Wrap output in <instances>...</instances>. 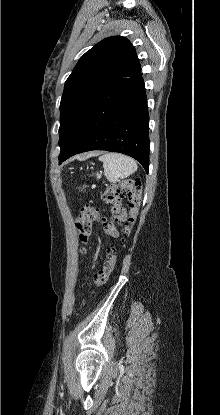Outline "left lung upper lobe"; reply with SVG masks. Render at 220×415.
Masks as SVG:
<instances>
[{"label":"left lung upper lobe","mask_w":220,"mask_h":415,"mask_svg":"<svg viewBox=\"0 0 220 415\" xmlns=\"http://www.w3.org/2000/svg\"><path fill=\"white\" fill-rule=\"evenodd\" d=\"M141 72L136 50L128 39H103L78 61L65 82L60 104L61 153L68 150L85 116L114 81Z\"/></svg>","instance_id":"5c2ea615"}]
</instances>
